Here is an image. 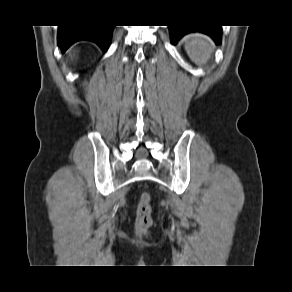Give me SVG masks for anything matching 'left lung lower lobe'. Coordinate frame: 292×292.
<instances>
[{"instance_id": "0a47b994", "label": "left lung lower lobe", "mask_w": 292, "mask_h": 292, "mask_svg": "<svg viewBox=\"0 0 292 292\" xmlns=\"http://www.w3.org/2000/svg\"><path fill=\"white\" fill-rule=\"evenodd\" d=\"M170 33L172 38V43H176L179 38L183 35L199 31L210 35L216 44L221 42V26H211V25H171Z\"/></svg>"}]
</instances>
